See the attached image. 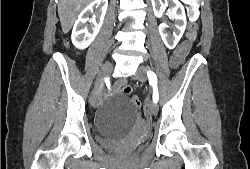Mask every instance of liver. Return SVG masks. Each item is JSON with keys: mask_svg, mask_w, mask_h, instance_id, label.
<instances>
[{"mask_svg": "<svg viewBox=\"0 0 250 169\" xmlns=\"http://www.w3.org/2000/svg\"><path fill=\"white\" fill-rule=\"evenodd\" d=\"M91 0H59L58 14L64 34L72 28L80 10Z\"/></svg>", "mask_w": 250, "mask_h": 169, "instance_id": "liver-1", "label": "liver"}]
</instances>
